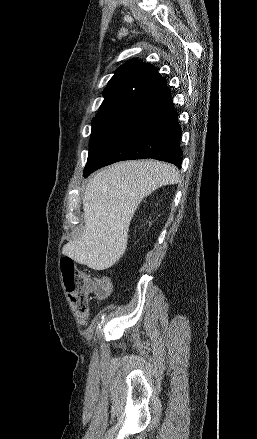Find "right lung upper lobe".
<instances>
[{
  "mask_svg": "<svg viewBox=\"0 0 257 439\" xmlns=\"http://www.w3.org/2000/svg\"><path fill=\"white\" fill-rule=\"evenodd\" d=\"M104 101L96 117L130 119L170 95L156 67L131 59L117 69L104 90Z\"/></svg>",
  "mask_w": 257,
  "mask_h": 439,
  "instance_id": "obj_1",
  "label": "right lung upper lobe"
}]
</instances>
